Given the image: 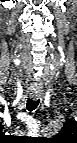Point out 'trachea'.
Instances as JSON below:
<instances>
[{
    "mask_svg": "<svg viewBox=\"0 0 77 143\" xmlns=\"http://www.w3.org/2000/svg\"><path fill=\"white\" fill-rule=\"evenodd\" d=\"M38 104H39V100H32L28 98L26 107L29 111H33L37 108Z\"/></svg>",
    "mask_w": 77,
    "mask_h": 143,
    "instance_id": "3493384b",
    "label": "trachea"
}]
</instances>
